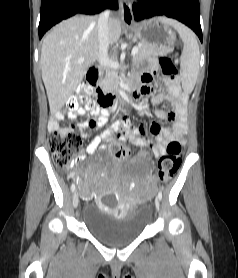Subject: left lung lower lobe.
I'll list each match as a JSON object with an SVG mask.
<instances>
[{
    "label": "left lung lower lobe",
    "instance_id": "left-lung-lower-lobe-1",
    "mask_svg": "<svg viewBox=\"0 0 238 278\" xmlns=\"http://www.w3.org/2000/svg\"><path fill=\"white\" fill-rule=\"evenodd\" d=\"M136 21L157 16L174 18L190 27L202 42L199 0H144L133 5Z\"/></svg>",
    "mask_w": 238,
    "mask_h": 278
}]
</instances>
